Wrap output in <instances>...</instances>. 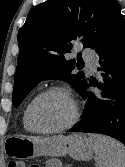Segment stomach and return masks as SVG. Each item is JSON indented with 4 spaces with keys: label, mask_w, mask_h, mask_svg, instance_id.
<instances>
[{
    "label": "stomach",
    "mask_w": 125,
    "mask_h": 167,
    "mask_svg": "<svg viewBox=\"0 0 125 167\" xmlns=\"http://www.w3.org/2000/svg\"><path fill=\"white\" fill-rule=\"evenodd\" d=\"M6 153L26 159L69 155L76 160L86 161L92 158L94 149L90 137L84 134L45 138L14 135L7 140Z\"/></svg>",
    "instance_id": "obj_1"
}]
</instances>
